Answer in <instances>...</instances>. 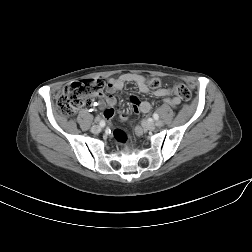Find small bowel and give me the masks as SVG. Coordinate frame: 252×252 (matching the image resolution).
Masks as SVG:
<instances>
[{"label": "small bowel", "mask_w": 252, "mask_h": 252, "mask_svg": "<svg viewBox=\"0 0 252 252\" xmlns=\"http://www.w3.org/2000/svg\"><path fill=\"white\" fill-rule=\"evenodd\" d=\"M128 83H133L137 86L138 90L143 94H148L150 92L149 87L146 84V80L144 76L136 73H124L117 78H111L107 82V94L99 95V100L97 101V106L103 110L104 116L107 119L113 117L115 113V106L117 104L116 98L113 94L117 91L123 90L124 86ZM154 95L156 97L164 98L170 96V90L167 88H159L154 91ZM133 108L136 111L147 113L151 109V105L147 101H141L137 97H132L131 99ZM166 104L171 105L173 107L178 106L181 103V100L178 97H169L165 99ZM122 120V115L120 116Z\"/></svg>", "instance_id": "obj_1"}]
</instances>
